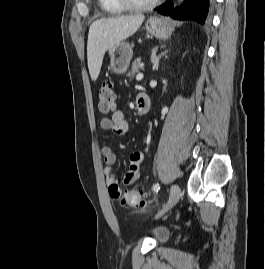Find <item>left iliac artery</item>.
<instances>
[{"mask_svg":"<svg viewBox=\"0 0 265 269\" xmlns=\"http://www.w3.org/2000/svg\"><path fill=\"white\" fill-rule=\"evenodd\" d=\"M159 189H160V185H159V183H156V184L153 186V191L157 193V192L159 191Z\"/></svg>","mask_w":265,"mask_h":269,"instance_id":"left-iliac-artery-1","label":"left iliac artery"}]
</instances>
